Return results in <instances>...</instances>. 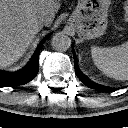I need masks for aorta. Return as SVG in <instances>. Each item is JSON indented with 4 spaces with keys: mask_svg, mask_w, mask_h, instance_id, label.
<instances>
[{
    "mask_svg": "<svg viewBox=\"0 0 128 128\" xmlns=\"http://www.w3.org/2000/svg\"><path fill=\"white\" fill-rule=\"evenodd\" d=\"M71 45L70 39L62 34H56L51 40V46L54 50L65 51Z\"/></svg>",
    "mask_w": 128,
    "mask_h": 128,
    "instance_id": "1",
    "label": "aorta"
}]
</instances>
